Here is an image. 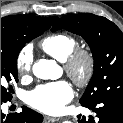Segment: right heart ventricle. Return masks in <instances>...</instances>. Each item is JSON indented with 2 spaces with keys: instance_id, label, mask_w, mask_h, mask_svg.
I'll list each match as a JSON object with an SVG mask.
<instances>
[{
  "instance_id": "e07e8e85",
  "label": "right heart ventricle",
  "mask_w": 123,
  "mask_h": 123,
  "mask_svg": "<svg viewBox=\"0 0 123 123\" xmlns=\"http://www.w3.org/2000/svg\"><path fill=\"white\" fill-rule=\"evenodd\" d=\"M77 41L71 35L56 33L45 37L41 43V49L60 62H64L67 56L76 48Z\"/></svg>"
}]
</instances>
